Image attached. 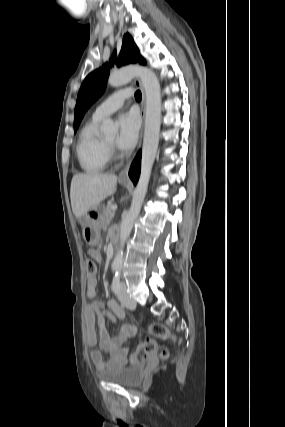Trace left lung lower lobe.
Listing matches in <instances>:
<instances>
[{
    "mask_svg": "<svg viewBox=\"0 0 285 427\" xmlns=\"http://www.w3.org/2000/svg\"><path fill=\"white\" fill-rule=\"evenodd\" d=\"M140 167H141V152H139L135 157L129 171V176L134 184H136L139 179Z\"/></svg>",
    "mask_w": 285,
    "mask_h": 427,
    "instance_id": "1",
    "label": "left lung lower lobe"
}]
</instances>
